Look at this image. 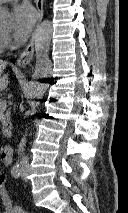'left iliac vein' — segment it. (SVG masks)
<instances>
[{"instance_id":"1","label":"left iliac vein","mask_w":128,"mask_h":213,"mask_svg":"<svg viewBox=\"0 0 128 213\" xmlns=\"http://www.w3.org/2000/svg\"><path fill=\"white\" fill-rule=\"evenodd\" d=\"M27 172H28V169H27V168H22V169H21V177H22V179H23L25 182L28 181V179H27Z\"/></svg>"}]
</instances>
